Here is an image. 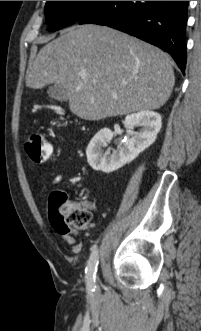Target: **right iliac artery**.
Listing matches in <instances>:
<instances>
[{
	"mask_svg": "<svg viewBox=\"0 0 201 331\" xmlns=\"http://www.w3.org/2000/svg\"><path fill=\"white\" fill-rule=\"evenodd\" d=\"M98 266V248L94 246L92 248V252L86 267V281L88 289L91 291H95L96 288V272Z\"/></svg>",
	"mask_w": 201,
	"mask_h": 331,
	"instance_id": "obj_1",
	"label": "right iliac artery"
}]
</instances>
